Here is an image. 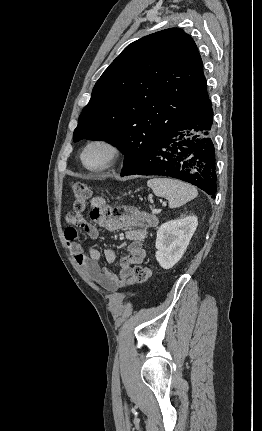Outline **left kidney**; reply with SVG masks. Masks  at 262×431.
I'll list each match as a JSON object with an SVG mask.
<instances>
[{
    "label": "left kidney",
    "instance_id": "left-kidney-1",
    "mask_svg": "<svg viewBox=\"0 0 262 431\" xmlns=\"http://www.w3.org/2000/svg\"><path fill=\"white\" fill-rule=\"evenodd\" d=\"M197 225L198 218L188 216L168 221L158 228L155 257L162 268L170 269L181 259Z\"/></svg>",
    "mask_w": 262,
    "mask_h": 431
}]
</instances>
